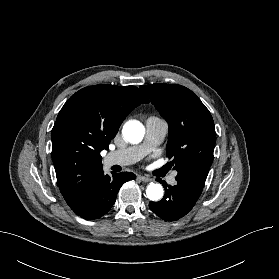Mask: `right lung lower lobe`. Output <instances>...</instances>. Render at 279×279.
<instances>
[{"instance_id":"obj_1","label":"right lung lower lobe","mask_w":279,"mask_h":279,"mask_svg":"<svg viewBox=\"0 0 279 279\" xmlns=\"http://www.w3.org/2000/svg\"><path fill=\"white\" fill-rule=\"evenodd\" d=\"M135 178L130 172L112 173L109 176L102 170L93 178L82 199L71 209L83 219H98L111 209L122 184Z\"/></svg>"}]
</instances>
